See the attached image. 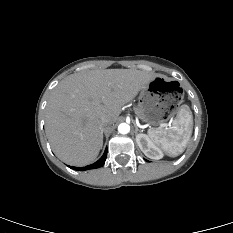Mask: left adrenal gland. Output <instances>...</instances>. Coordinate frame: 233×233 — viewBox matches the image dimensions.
Returning <instances> with one entry per match:
<instances>
[{
	"instance_id": "obj_1",
	"label": "left adrenal gland",
	"mask_w": 233,
	"mask_h": 233,
	"mask_svg": "<svg viewBox=\"0 0 233 233\" xmlns=\"http://www.w3.org/2000/svg\"><path fill=\"white\" fill-rule=\"evenodd\" d=\"M135 130H136V135H138L137 132L139 131V129L136 125H135Z\"/></svg>"
}]
</instances>
